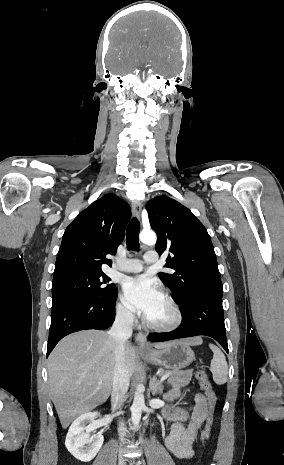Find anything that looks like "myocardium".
Instances as JSON below:
<instances>
[{"label": "myocardium", "mask_w": 284, "mask_h": 465, "mask_svg": "<svg viewBox=\"0 0 284 465\" xmlns=\"http://www.w3.org/2000/svg\"><path fill=\"white\" fill-rule=\"evenodd\" d=\"M162 298L167 303L168 307L172 312V321L168 324L158 325L150 322L147 318H144V323L151 331L155 333L167 334L175 331L182 323V313L175 300L168 294H163Z\"/></svg>", "instance_id": "myocardium-1"}]
</instances>
